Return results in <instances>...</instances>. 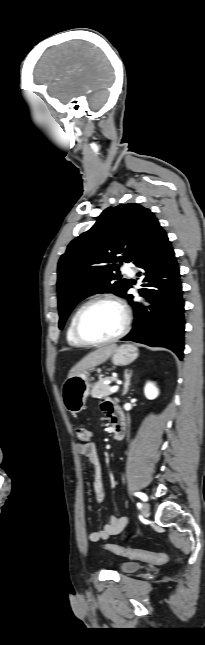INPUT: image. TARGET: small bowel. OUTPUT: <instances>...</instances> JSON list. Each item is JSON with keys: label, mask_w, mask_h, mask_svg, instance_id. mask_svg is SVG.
<instances>
[{"label": "small bowel", "mask_w": 205, "mask_h": 645, "mask_svg": "<svg viewBox=\"0 0 205 645\" xmlns=\"http://www.w3.org/2000/svg\"><path fill=\"white\" fill-rule=\"evenodd\" d=\"M102 410L105 412L109 420H112L113 411L116 405L111 401H104L101 405ZM77 452L85 457L93 467V489L97 502H102L104 498V489L102 484V469L98 456L97 449L94 444L88 446H78ZM129 525V518L127 516L117 517L114 515L109 516L108 521L102 528L92 531L88 539L90 542H99L109 539L111 536L118 535L123 532Z\"/></svg>", "instance_id": "obj_1"}]
</instances>
